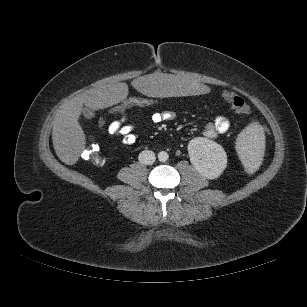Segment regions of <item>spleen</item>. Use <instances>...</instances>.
Returning a JSON list of instances; mask_svg holds the SVG:
<instances>
[{"label":"spleen","instance_id":"spleen-1","mask_svg":"<svg viewBox=\"0 0 307 307\" xmlns=\"http://www.w3.org/2000/svg\"><path fill=\"white\" fill-rule=\"evenodd\" d=\"M269 142L263 136L262 128L256 123L235 136L233 147L239 155L238 167L244 177L252 179L261 172L263 150Z\"/></svg>","mask_w":307,"mask_h":307}]
</instances>
